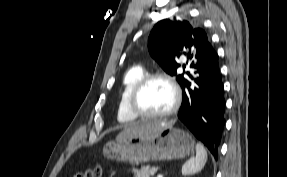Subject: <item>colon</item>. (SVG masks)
I'll return each mask as SVG.
<instances>
[{"label": "colon", "instance_id": "colon-1", "mask_svg": "<svg viewBox=\"0 0 287 177\" xmlns=\"http://www.w3.org/2000/svg\"><path fill=\"white\" fill-rule=\"evenodd\" d=\"M102 170L100 167L88 168L74 173L71 177H101Z\"/></svg>", "mask_w": 287, "mask_h": 177}]
</instances>
